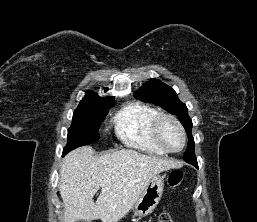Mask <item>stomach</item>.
Returning a JSON list of instances; mask_svg holds the SVG:
<instances>
[{
    "label": "stomach",
    "instance_id": "obj_1",
    "mask_svg": "<svg viewBox=\"0 0 257 222\" xmlns=\"http://www.w3.org/2000/svg\"><path fill=\"white\" fill-rule=\"evenodd\" d=\"M163 187L164 176L155 175L132 206L134 216L145 217L152 213L162 197Z\"/></svg>",
    "mask_w": 257,
    "mask_h": 222
}]
</instances>
